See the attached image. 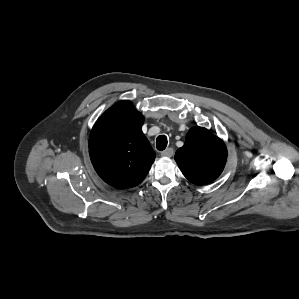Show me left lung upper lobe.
Returning a JSON list of instances; mask_svg holds the SVG:
<instances>
[{
  "label": "left lung upper lobe",
  "mask_w": 299,
  "mask_h": 299,
  "mask_svg": "<svg viewBox=\"0 0 299 299\" xmlns=\"http://www.w3.org/2000/svg\"><path fill=\"white\" fill-rule=\"evenodd\" d=\"M227 149L221 139L202 127H193L183 147L175 154V161L184 176L196 185L214 181L222 173Z\"/></svg>",
  "instance_id": "1"
}]
</instances>
